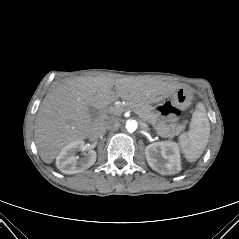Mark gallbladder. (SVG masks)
<instances>
[{
	"mask_svg": "<svg viewBox=\"0 0 239 239\" xmlns=\"http://www.w3.org/2000/svg\"><path fill=\"white\" fill-rule=\"evenodd\" d=\"M89 112L91 114L92 117L96 116V110L93 107H89Z\"/></svg>",
	"mask_w": 239,
	"mask_h": 239,
	"instance_id": "bac80fb5",
	"label": "gallbladder"
}]
</instances>
